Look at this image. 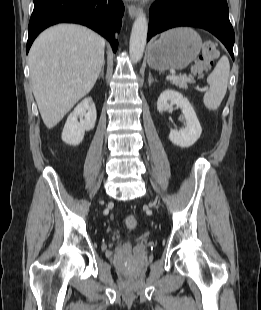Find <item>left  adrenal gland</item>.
Returning a JSON list of instances; mask_svg holds the SVG:
<instances>
[{"instance_id": "1", "label": "left adrenal gland", "mask_w": 261, "mask_h": 310, "mask_svg": "<svg viewBox=\"0 0 261 310\" xmlns=\"http://www.w3.org/2000/svg\"><path fill=\"white\" fill-rule=\"evenodd\" d=\"M154 81L157 82V80H155L154 78H152L151 73H149V77H148V84H149V86H150Z\"/></svg>"}]
</instances>
